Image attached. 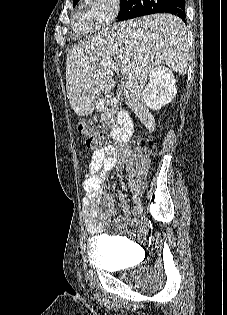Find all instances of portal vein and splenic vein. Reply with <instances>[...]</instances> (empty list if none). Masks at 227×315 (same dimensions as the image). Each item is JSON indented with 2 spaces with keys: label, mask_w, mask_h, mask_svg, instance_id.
I'll return each mask as SVG.
<instances>
[{
  "label": "portal vein and splenic vein",
  "mask_w": 227,
  "mask_h": 315,
  "mask_svg": "<svg viewBox=\"0 0 227 315\" xmlns=\"http://www.w3.org/2000/svg\"><path fill=\"white\" fill-rule=\"evenodd\" d=\"M106 64L112 68V70L115 71V73L119 74H125L129 69L127 67H121L120 69L118 68V66H115L114 63H112L111 61L106 62Z\"/></svg>",
  "instance_id": "1"
}]
</instances>
